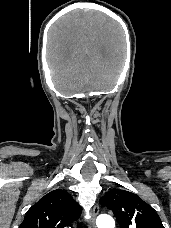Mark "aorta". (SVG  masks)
I'll list each match as a JSON object with an SVG mask.
<instances>
[{
  "mask_svg": "<svg viewBox=\"0 0 171 228\" xmlns=\"http://www.w3.org/2000/svg\"><path fill=\"white\" fill-rule=\"evenodd\" d=\"M97 227L98 228H114L115 222L114 219L109 215H100L97 218Z\"/></svg>",
  "mask_w": 171,
  "mask_h": 228,
  "instance_id": "762f6f07",
  "label": "aorta"
}]
</instances>
